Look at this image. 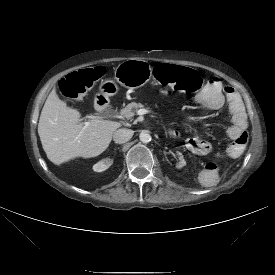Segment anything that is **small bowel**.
<instances>
[{
  "label": "small bowel",
  "mask_w": 275,
  "mask_h": 275,
  "mask_svg": "<svg viewBox=\"0 0 275 275\" xmlns=\"http://www.w3.org/2000/svg\"><path fill=\"white\" fill-rule=\"evenodd\" d=\"M196 101L208 110H217L226 101L231 118V124L226 129L227 135L231 139H236L246 131L248 121L239 95L232 87H224L219 78L210 79ZM185 148L190 155L204 156L211 151L212 144L207 137H193L186 142ZM227 159V153L223 149L216 148L209 153L208 159L200 164V175L196 180L201 190L207 191L216 185L222 175L219 167L223 166Z\"/></svg>",
  "instance_id": "small-bowel-1"
}]
</instances>
